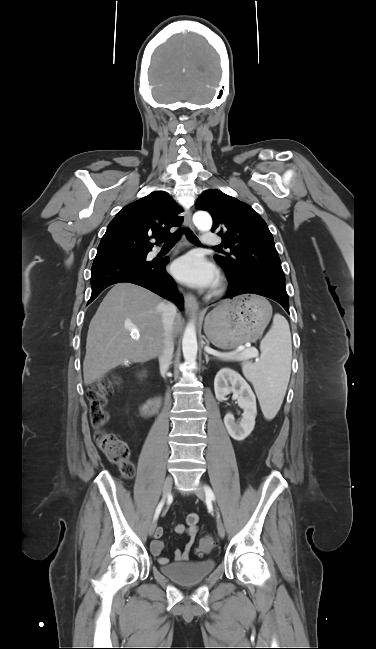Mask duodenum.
<instances>
[{"mask_svg": "<svg viewBox=\"0 0 376 649\" xmlns=\"http://www.w3.org/2000/svg\"><path fill=\"white\" fill-rule=\"evenodd\" d=\"M159 408V400L156 398L149 399L140 405L141 413L144 416H152Z\"/></svg>", "mask_w": 376, "mask_h": 649, "instance_id": "1", "label": "duodenum"}]
</instances>
